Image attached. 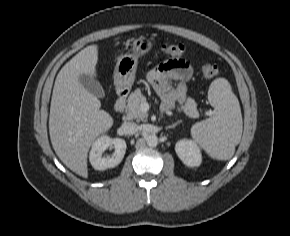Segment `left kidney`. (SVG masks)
Listing matches in <instances>:
<instances>
[{
    "label": "left kidney",
    "instance_id": "obj_1",
    "mask_svg": "<svg viewBox=\"0 0 290 236\" xmlns=\"http://www.w3.org/2000/svg\"><path fill=\"white\" fill-rule=\"evenodd\" d=\"M175 151L181 161L189 167L199 166L202 162L200 149L192 140L178 141L175 145Z\"/></svg>",
    "mask_w": 290,
    "mask_h": 236
}]
</instances>
